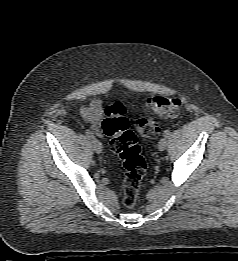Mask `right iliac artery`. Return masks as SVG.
Instances as JSON below:
<instances>
[{"instance_id": "82829eb1", "label": "right iliac artery", "mask_w": 238, "mask_h": 261, "mask_svg": "<svg viewBox=\"0 0 238 261\" xmlns=\"http://www.w3.org/2000/svg\"><path fill=\"white\" fill-rule=\"evenodd\" d=\"M85 133H86V136L89 138V139H93L94 138V135H93V133L90 131V130H86L85 131Z\"/></svg>"}]
</instances>
